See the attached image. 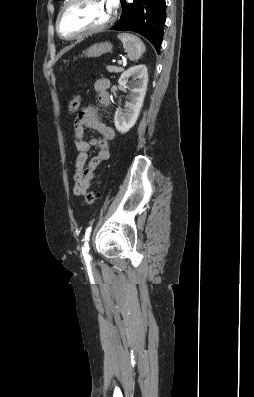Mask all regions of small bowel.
Listing matches in <instances>:
<instances>
[{"label":"small bowel","mask_w":254,"mask_h":397,"mask_svg":"<svg viewBox=\"0 0 254 397\" xmlns=\"http://www.w3.org/2000/svg\"><path fill=\"white\" fill-rule=\"evenodd\" d=\"M110 82L101 78L95 81L94 89L98 94L99 103L108 107L111 103L108 92ZM86 128L96 130L100 138H92L87 141L84 137ZM115 136L112 127L100 121L97 108L94 105L85 106L74 121L73 143L78 150L75 163L73 193L76 196H83L95 177L96 170L101 163L109 159L111 149L109 141ZM91 147L97 148V155L88 160V153Z\"/></svg>","instance_id":"c3829d8e"}]
</instances>
